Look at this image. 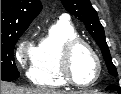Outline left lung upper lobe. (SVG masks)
I'll return each mask as SVG.
<instances>
[{
	"mask_svg": "<svg viewBox=\"0 0 121 94\" xmlns=\"http://www.w3.org/2000/svg\"><path fill=\"white\" fill-rule=\"evenodd\" d=\"M65 9L82 21L87 31L91 34L101 49L104 60L108 67V72L117 76V71L112 63L109 48L105 40L104 28L101 25L96 10L92 7L89 0H62Z\"/></svg>",
	"mask_w": 121,
	"mask_h": 94,
	"instance_id": "left-lung-upper-lobe-1",
	"label": "left lung upper lobe"
}]
</instances>
